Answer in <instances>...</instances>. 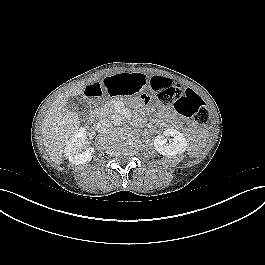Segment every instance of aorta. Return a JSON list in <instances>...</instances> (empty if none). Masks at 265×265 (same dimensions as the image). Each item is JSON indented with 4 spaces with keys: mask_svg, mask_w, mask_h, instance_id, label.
Returning a JSON list of instances; mask_svg holds the SVG:
<instances>
[{
    "mask_svg": "<svg viewBox=\"0 0 265 265\" xmlns=\"http://www.w3.org/2000/svg\"><path fill=\"white\" fill-rule=\"evenodd\" d=\"M123 119V116L118 113H115L110 117L111 123L114 125H121L123 123Z\"/></svg>",
    "mask_w": 265,
    "mask_h": 265,
    "instance_id": "1",
    "label": "aorta"
}]
</instances>
